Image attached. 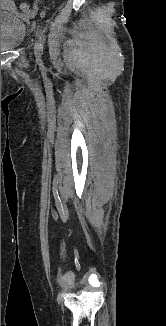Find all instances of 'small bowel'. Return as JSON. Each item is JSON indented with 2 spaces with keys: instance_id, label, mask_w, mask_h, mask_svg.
<instances>
[{
  "instance_id": "1",
  "label": "small bowel",
  "mask_w": 166,
  "mask_h": 326,
  "mask_svg": "<svg viewBox=\"0 0 166 326\" xmlns=\"http://www.w3.org/2000/svg\"><path fill=\"white\" fill-rule=\"evenodd\" d=\"M1 8L16 12V6L13 0H1Z\"/></svg>"
}]
</instances>
